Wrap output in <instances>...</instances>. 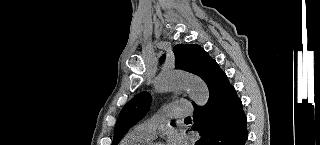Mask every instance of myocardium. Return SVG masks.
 Masks as SVG:
<instances>
[{
    "mask_svg": "<svg viewBox=\"0 0 320 145\" xmlns=\"http://www.w3.org/2000/svg\"><path fill=\"white\" fill-rule=\"evenodd\" d=\"M148 145H155V144L149 143Z\"/></svg>",
    "mask_w": 320,
    "mask_h": 145,
    "instance_id": "obj_1",
    "label": "myocardium"
}]
</instances>
